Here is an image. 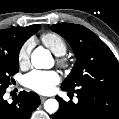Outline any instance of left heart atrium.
<instances>
[{"label": "left heart atrium", "mask_w": 119, "mask_h": 119, "mask_svg": "<svg viewBox=\"0 0 119 119\" xmlns=\"http://www.w3.org/2000/svg\"><path fill=\"white\" fill-rule=\"evenodd\" d=\"M59 81V74L53 70H33L24 77V85L38 93L51 92Z\"/></svg>", "instance_id": "obj_1"}]
</instances>
